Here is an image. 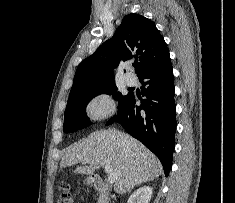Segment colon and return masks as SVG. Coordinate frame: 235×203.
<instances>
[{"instance_id": "obj_1", "label": "colon", "mask_w": 235, "mask_h": 203, "mask_svg": "<svg viewBox=\"0 0 235 203\" xmlns=\"http://www.w3.org/2000/svg\"><path fill=\"white\" fill-rule=\"evenodd\" d=\"M57 203H74L67 184L61 185V194Z\"/></svg>"}]
</instances>
